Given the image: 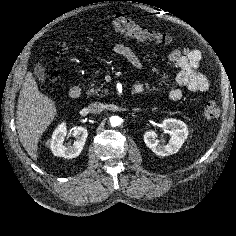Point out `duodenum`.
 I'll return each mask as SVG.
<instances>
[{"label": "duodenum", "mask_w": 236, "mask_h": 236, "mask_svg": "<svg viewBox=\"0 0 236 236\" xmlns=\"http://www.w3.org/2000/svg\"><path fill=\"white\" fill-rule=\"evenodd\" d=\"M135 93V92H134ZM82 94V90L79 86H73L70 90H69V96L72 99H78L80 98Z\"/></svg>", "instance_id": "obj_1"}]
</instances>
